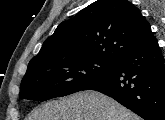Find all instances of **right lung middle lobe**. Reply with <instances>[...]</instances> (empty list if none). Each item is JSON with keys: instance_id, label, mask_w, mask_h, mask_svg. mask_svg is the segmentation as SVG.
<instances>
[{"instance_id": "dd1d6c3e", "label": "right lung middle lobe", "mask_w": 165, "mask_h": 120, "mask_svg": "<svg viewBox=\"0 0 165 120\" xmlns=\"http://www.w3.org/2000/svg\"><path fill=\"white\" fill-rule=\"evenodd\" d=\"M112 61L74 58L28 67L21 82L20 98L46 101L81 91L89 83L108 75Z\"/></svg>"}]
</instances>
